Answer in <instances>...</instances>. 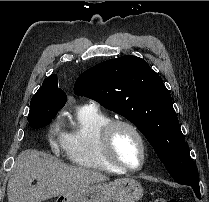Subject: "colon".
Returning <instances> with one entry per match:
<instances>
[{
    "label": "colon",
    "mask_w": 209,
    "mask_h": 202,
    "mask_svg": "<svg viewBox=\"0 0 209 202\" xmlns=\"http://www.w3.org/2000/svg\"><path fill=\"white\" fill-rule=\"evenodd\" d=\"M154 202H178L174 198H157Z\"/></svg>",
    "instance_id": "obj_1"
}]
</instances>
